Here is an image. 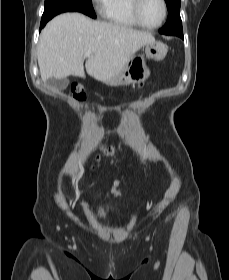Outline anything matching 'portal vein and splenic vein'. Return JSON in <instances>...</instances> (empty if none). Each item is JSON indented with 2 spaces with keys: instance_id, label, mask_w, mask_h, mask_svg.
<instances>
[{
  "instance_id": "portal-vein-and-splenic-vein-1",
  "label": "portal vein and splenic vein",
  "mask_w": 229,
  "mask_h": 280,
  "mask_svg": "<svg viewBox=\"0 0 229 280\" xmlns=\"http://www.w3.org/2000/svg\"><path fill=\"white\" fill-rule=\"evenodd\" d=\"M90 55H91V52H86V53L84 54V57H90Z\"/></svg>"
}]
</instances>
